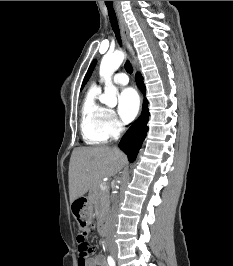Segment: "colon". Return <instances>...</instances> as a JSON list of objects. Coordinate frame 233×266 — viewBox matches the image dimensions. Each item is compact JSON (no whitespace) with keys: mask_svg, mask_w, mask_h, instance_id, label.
Listing matches in <instances>:
<instances>
[{"mask_svg":"<svg viewBox=\"0 0 233 266\" xmlns=\"http://www.w3.org/2000/svg\"><path fill=\"white\" fill-rule=\"evenodd\" d=\"M90 232H93V228H88L87 232H82L77 237L80 264H82L85 258L91 256L94 252L93 248L86 241L87 235Z\"/></svg>","mask_w":233,"mask_h":266,"instance_id":"colon-1","label":"colon"}]
</instances>
